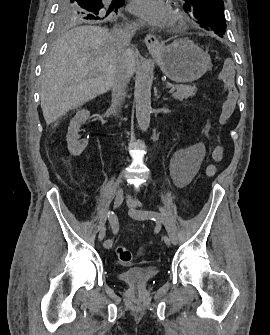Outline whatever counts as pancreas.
<instances>
[{
    "label": "pancreas",
    "instance_id": "obj_1",
    "mask_svg": "<svg viewBox=\"0 0 270 335\" xmlns=\"http://www.w3.org/2000/svg\"><path fill=\"white\" fill-rule=\"evenodd\" d=\"M173 87V86H172ZM176 87L177 92L173 94V98L175 100H184V98H190V96H195L196 94V86L193 84V86H174Z\"/></svg>",
    "mask_w": 270,
    "mask_h": 335
}]
</instances>
